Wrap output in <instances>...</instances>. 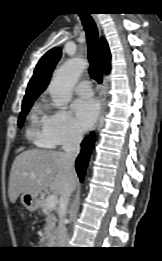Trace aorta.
I'll return each instance as SVG.
<instances>
[{
    "mask_svg": "<svg viewBox=\"0 0 162 261\" xmlns=\"http://www.w3.org/2000/svg\"><path fill=\"white\" fill-rule=\"evenodd\" d=\"M86 66L87 62L84 59L73 58L56 71L49 86V92L55 106L61 107L71 101L73 87Z\"/></svg>",
    "mask_w": 162,
    "mask_h": 261,
    "instance_id": "obj_1",
    "label": "aorta"
}]
</instances>
